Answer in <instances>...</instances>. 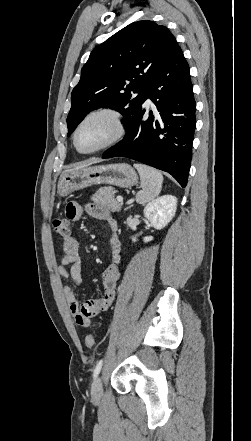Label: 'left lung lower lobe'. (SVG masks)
Wrapping results in <instances>:
<instances>
[{"label":"left lung lower lobe","instance_id":"left-lung-lower-lobe-1","mask_svg":"<svg viewBox=\"0 0 251 441\" xmlns=\"http://www.w3.org/2000/svg\"><path fill=\"white\" fill-rule=\"evenodd\" d=\"M157 108L144 117V102ZM126 127L122 141L102 158L127 157L170 173L187 185L196 125V103L189 65L177 44L161 70L147 84L146 97Z\"/></svg>","mask_w":251,"mask_h":441}]
</instances>
